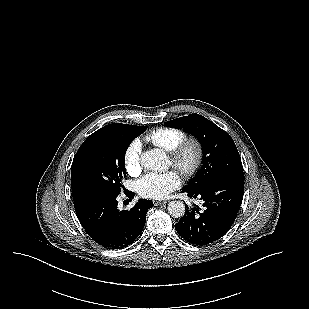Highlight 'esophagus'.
I'll return each mask as SVG.
<instances>
[{
    "mask_svg": "<svg viewBox=\"0 0 309 309\" xmlns=\"http://www.w3.org/2000/svg\"><path fill=\"white\" fill-rule=\"evenodd\" d=\"M165 203H167L166 201H157V200H154L153 201V204L155 205V206H159V205H162V204H165Z\"/></svg>",
    "mask_w": 309,
    "mask_h": 309,
    "instance_id": "esophagus-1",
    "label": "esophagus"
}]
</instances>
